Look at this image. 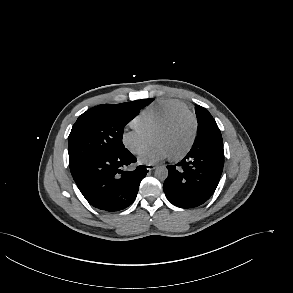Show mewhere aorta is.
I'll use <instances>...</instances> for the list:
<instances>
[{"label": "aorta", "mask_w": 293, "mask_h": 293, "mask_svg": "<svg viewBox=\"0 0 293 293\" xmlns=\"http://www.w3.org/2000/svg\"><path fill=\"white\" fill-rule=\"evenodd\" d=\"M155 177L159 180H165L168 177V169L165 166L156 167Z\"/></svg>", "instance_id": "762f6f07"}]
</instances>
